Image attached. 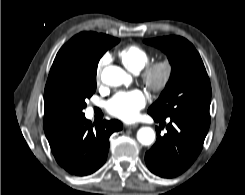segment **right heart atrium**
<instances>
[{
	"label": "right heart atrium",
	"mask_w": 245,
	"mask_h": 195,
	"mask_svg": "<svg viewBox=\"0 0 245 195\" xmlns=\"http://www.w3.org/2000/svg\"><path fill=\"white\" fill-rule=\"evenodd\" d=\"M108 60H109L108 56L104 55L103 57H101V59L99 60L97 64L96 73H95L97 83L100 82L102 69L108 63Z\"/></svg>",
	"instance_id": "right-heart-atrium-1"
}]
</instances>
